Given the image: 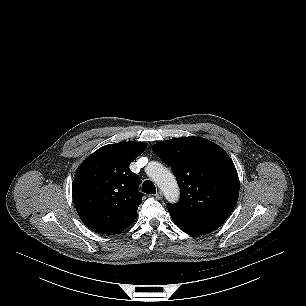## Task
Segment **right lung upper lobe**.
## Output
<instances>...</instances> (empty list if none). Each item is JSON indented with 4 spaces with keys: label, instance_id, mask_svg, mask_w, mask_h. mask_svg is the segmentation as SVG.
<instances>
[{
    "label": "right lung upper lobe",
    "instance_id": "right-lung-upper-lobe-1",
    "mask_svg": "<svg viewBox=\"0 0 306 306\" xmlns=\"http://www.w3.org/2000/svg\"><path fill=\"white\" fill-rule=\"evenodd\" d=\"M142 142H120L101 147L76 173L72 197L81 220L93 231L113 235L137 217L143 194L139 177L129 165L146 149Z\"/></svg>",
    "mask_w": 306,
    "mask_h": 306
}]
</instances>
